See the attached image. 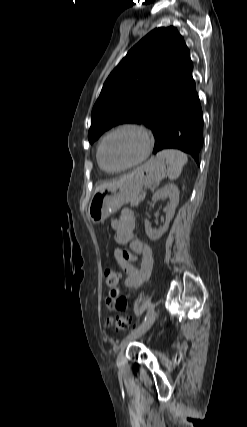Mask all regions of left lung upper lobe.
Masks as SVG:
<instances>
[{
    "instance_id": "obj_1",
    "label": "left lung upper lobe",
    "mask_w": 247,
    "mask_h": 427,
    "mask_svg": "<svg viewBox=\"0 0 247 427\" xmlns=\"http://www.w3.org/2000/svg\"><path fill=\"white\" fill-rule=\"evenodd\" d=\"M193 63L173 26L141 39L110 73L92 113L90 143L121 123L151 127L163 104L192 80Z\"/></svg>"
}]
</instances>
